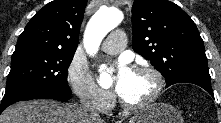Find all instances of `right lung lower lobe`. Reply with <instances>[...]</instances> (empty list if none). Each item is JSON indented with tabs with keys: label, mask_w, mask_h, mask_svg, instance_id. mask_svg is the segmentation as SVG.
Returning a JSON list of instances; mask_svg holds the SVG:
<instances>
[{
	"label": "right lung lower lobe",
	"mask_w": 221,
	"mask_h": 123,
	"mask_svg": "<svg viewBox=\"0 0 221 123\" xmlns=\"http://www.w3.org/2000/svg\"><path fill=\"white\" fill-rule=\"evenodd\" d=\"M71 96V91H64V90H58V89H54L51 91H48L46 93L40 94L36 97H34L33 99H55V100H59V101H67ZM21 100H31V99H24L23 97H17L14 98L6 103L1 104L0 107V114L1 112L7 108L9 105L21 101Z\"/></svg>",
	"instance_id": "right-lung-lower-lobe-1"
}]
</instances>
